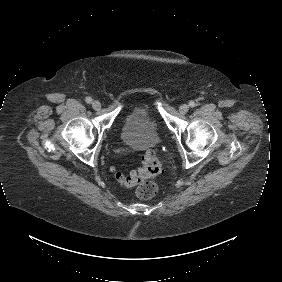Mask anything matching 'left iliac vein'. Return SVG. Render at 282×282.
<instances>
[{
    "instance_id": "4c4485c4",
    "label": "left iliac vein",
    "mask_w": 282,
    "mask_h": 282,
    "mask_svg": "<svg viewBox=\"0 0 282 282\" xmlns=\"http://www.w3.org/2000/svg\"><path fill=\"white\" fill-rule=\"evenodd\" d=\"M189 110V105L188 104H183L179 107V112L180 114H186Z\"/></svg>"
}]
</instances>
